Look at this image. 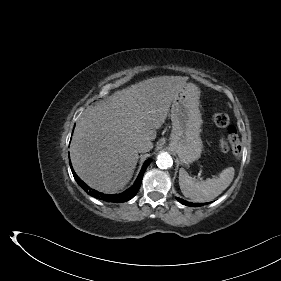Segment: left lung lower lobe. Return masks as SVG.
Listing matches in <instances>:
<instances>
[{
	"instance_id": "0a47b994",
	"label": "left lung lower lobe",
	"mask_w": 281,
	"mask_h": 281,
	"mask_svg": "<svg viewBox=\"0 0 281 281\" xmlns=\"http://www.w3.org/2000/svg\"><path fill=\"white\" fill-rule=\"evenodd\" d=\"M177 200L180 202V203H182V204H184V205H187V206H191V207H197V206H202L203 204H206V203H190V202H187V201H185V200H183V199H180V198H177ZM208 204V203H207Z\"/></svg>"
}]
</instances>
